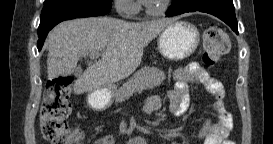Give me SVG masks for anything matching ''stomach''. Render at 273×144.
<instances>
[{
	"instance_id": "1",
	"label": "stomach",
	"mask_w": 273,
	"mask_h": 144,
	"mask_svg": "<svg viewBox=\"0 0 273 144\" xmlns=\"http://www.w3.org/2000/svg\"><path fill=\"white\" fill-rule=\"evenodd\" d=\"M200 34L195 25L186 21H175L168 25L157 39L158 50L169 60L179 61L190 56L197 49ZM116 88L91 91L87 95L88 106L96 111L109 108L115 98Z\"/></svg>"
}]
</instances>
